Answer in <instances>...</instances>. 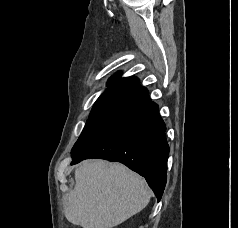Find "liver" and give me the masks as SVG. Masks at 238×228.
I'll return each mask as SVG.
<instances>
[{
	"instance_id": "6515ba94",
	"label": "liver",
	"mask_w": 238,
	"mask_h": 228,
	"mask_svg": "<svg viewBox=\"0 0 238 228\" xmlns=\"http://www.w3.org/2000/svg\"><path fill=\"white\" fill-rule=\"evenodd\" d=\"M75 181L64 200V215L83 228H113L151 198L146 181L120 163L85 161L75 170Z\"/></svg>"
}]
</instances>
